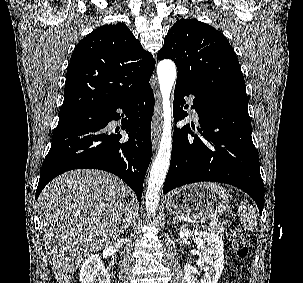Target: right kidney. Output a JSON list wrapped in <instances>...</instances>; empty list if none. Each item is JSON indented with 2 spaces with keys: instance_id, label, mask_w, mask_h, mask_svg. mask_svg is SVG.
Wrapping results in <instances>:
<instances>
[{
  "instance_id": "right-kidney-1",
  "label": "right kidney",
  "mask_w": 303,
  "mask_h": 283,
  "mask_svg": "<svg viewBox=\"0 0 303 283\" xmlns=\"http://www.w3.org/2000/svg\"><path fill=\"white\" fill-rule=\"evenodd\" d=\"M81 283H110V275L99 255L89 256L80 270Z\"/></svg>"
}]
</instances>
